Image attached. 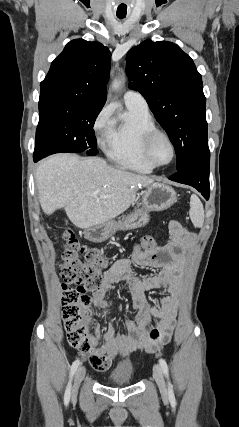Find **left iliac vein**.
I'll return each mask as SVG.
<instances>
[{"label":"left iliac vein","instance_id":"1","mask_svg":"<svg viewBox=\"0 0 239 427\" xmlns=\"http://www.w3.org/2000/svg\"><path fill=\"white\" fill-rule=\"evenodd\" d=\"M153 377L159 387L161 394L166 397L167 396L166 383L164 380L162 369L158 364L154 365L153 367Z\"/></svg>","mask_w":239,"mask_h":427}]
</instances>
